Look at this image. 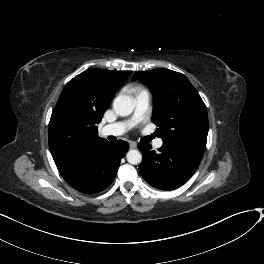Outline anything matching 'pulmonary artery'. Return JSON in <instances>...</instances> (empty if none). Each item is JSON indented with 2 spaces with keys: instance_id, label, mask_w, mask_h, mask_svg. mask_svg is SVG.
<instances>
[{
  "instance_id": "e3ab8cb5",
  "label": "pulmonary artery",
  "mask_w": 264,
  "mask_h": 264,
  "mask_svg": "<svg viewBox=\"0 0 264 264\" xmlns=\"http://www.w3.org/2000/svg\"><path fill=\"white\" fill-rule=\"evenodd\" d=\"M150 104V94L148 91L143 90L138 92L135 95V110L132 117L127 121H121L106 125L102 128V133L104 135H112V136H119L130 128H132L137 122L142 120L146 115ZM163 145V141L161 138H158L154 142L155 148H160Z\"/></svg>"
}]
</instances>
